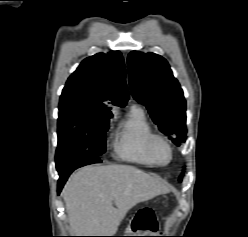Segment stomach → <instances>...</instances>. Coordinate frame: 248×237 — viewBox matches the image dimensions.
I'll list each match as a JSON object with an SVG mask.
<instances>
[{
  "instance_id": "0dacf381",
  "label": "stomach",
  "mask_w": 248,
  "mask_h": 237,
  "mask_svg": "<svg viewBox=\"0 0 248 237\" xmlns=\"http://www.w3.org/2000/svg\"><path fill=\"white\" fill-rule=\"evenodd\" d=\"M136 232L135 231H130V236H136L137 234H135Z\"/></svg>"
}]
</instances>
